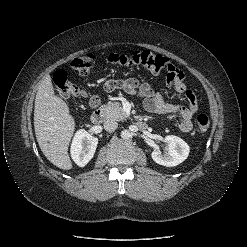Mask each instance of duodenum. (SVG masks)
Listing matches in <instances>:
<instances>
[{
  "label": "duodenum",
  "mask_w": 247,
  "mask_h": 247,
  "mask_svg": "<svg viewBox=\"0 0 247 247\" xmlns=\"http://www.w3.org/2000/svg\"><path fill=\"white\" fill-rule=\"evenodd\" d=\"M104 118H105V112L101 108L95 109L91 114V121L94 124L102 123ZM137 126L140 129H146L147 128V123L145 121H143V120H139L137 122Z\"/></svg>",
  "instance_id": "410a0bca"
}]
</instances>
